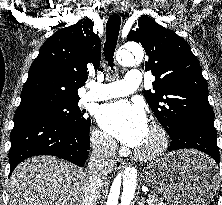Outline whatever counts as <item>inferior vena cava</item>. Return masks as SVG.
Listing matches in <instances>:
<instances>
[{"label": "inferior vena cava", "instance_id": "1", "mask_svg": "<svg viewBox=\"0 0 222 205\" xmlns=\"http://www.w3.org/2000/svg\"><path fill=\"white\" fill-rule=\"evenodd\" d=\"M116 149V142L108 139L99 140L94 144L88 163V184L82 205H96L102 182L105 176L113 170Z\"/></svg>", "mask_w": 222, "mask_h": 205}]
</instances>
